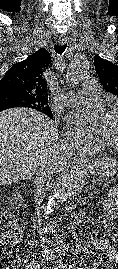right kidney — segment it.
<instances>
[{"mask_svg":"<svg viewBox=\"0 0 118 269\" xmlns=\"http://www.w3.org/2000/svg\"><path fill=\"white\" fill-rule=\"evenodd\" d=\"M12 201L17 204L16 208H20L23 206L24 203V197L20 194V192H18V190H16V193L13 195V197L10 200L11 205H14V203H12Z\"/></svg>","mask_w":118,"mask_h":269,"instance_id":"ca27d5eb","label":"right kidney"}]
</instances>
